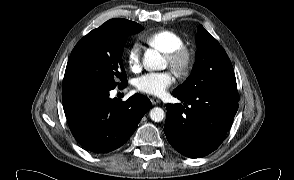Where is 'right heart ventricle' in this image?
<instances>
[{
    "label": "right heart ventricle",
    "instance_id": "right-heart-ventricle-1",
    "mask_svg": "<svg viewBox=\"0 0 294 180\" xmlns=\"http://www.w3.org/2000/svg\"><path fill=\"white\" fill-rule=\"evenodd\" d=\"M143 41L160 48L165 53H171L184 47V40L173 30L162 29L142 37Z\"/></svg>",
    "mask_w": 294,
    "mask_h": 180
}]
</instances>
